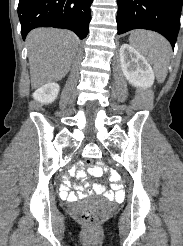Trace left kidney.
<instances>
[{
  "instance_id": "1",
  "label": "left kidney",
  "mask_w": 183,
  "mask_h": 246,
  "mask_svg": "<svg viewBox=\"0 0 183 246\" xmlns=\"http://www.w3.org/2000/svg\"><path fill=\"white\" fill-rule=\"evenodd\" d=\"M120 63L123 74L130 84L141 88L153 85L155 75L151 65L129 44L120 47Z\"/></svg>"
}]
</instances>
